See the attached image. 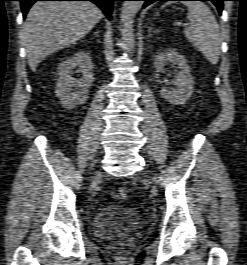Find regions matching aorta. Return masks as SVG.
I'll return each mask as SVG.
<instances>
[{
  "label": "aorta",
  "mask_w": 247,
  "mask_h": 265,
  "mask_svg": "<svg viewBox=\"0 0 247 265\" xmlns=\"http://www.w3.org/2000/svg\"><path fill=\"white\" fill-rule=\"evenodd\" d=\"M142 7L141 1H124L121 9V32L124 38L126 48L129 51L134 49L133 23L134 18Z\"/></svg>",
  "instance_id": "obj_1"
}]
</instances>
